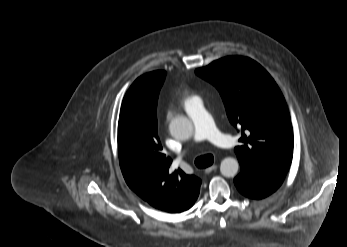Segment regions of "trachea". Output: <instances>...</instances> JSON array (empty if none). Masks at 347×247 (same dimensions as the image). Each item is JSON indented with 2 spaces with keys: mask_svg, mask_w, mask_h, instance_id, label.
<instances>
[{
  "mask_svg": "<svg viewBox=\"0 0 347 247\" xmlns=\"http://www.w3.org/2000/svg\"><path fill=\"white\" fill-rule=\"evenodd\" d=\"M214 162V157L212 154H208V155H204V156H200V157H197L195 159V165L198 167V168H206V167H209L213 164Z\"/></svg>",
  "mask_w": 347,
  "mask_h": 247,
  "instance_id": "1",
  "label": "trachea"
}]
</instances>
